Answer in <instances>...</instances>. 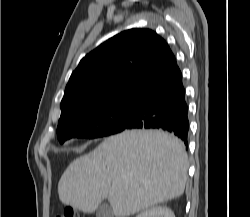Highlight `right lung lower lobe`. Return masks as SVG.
<instances>
[{
	"instance_id": "obj_1",
	"label": "right lung lower lobe",
	"mask_w": 250,
	"mask_h": 217,
	"mask_svg": "<svg viewBox=\"0 0 250 217\" xmlns=\"http://www.w3.org/2000/svg\"><path fill=\"white\" fill-rule=\"evenodd\" d=\"M135 100L134 115L125 129L166 130L188 145V106L179 68L164 81L141 93Z\"/></svg>"
}]
</instances>
